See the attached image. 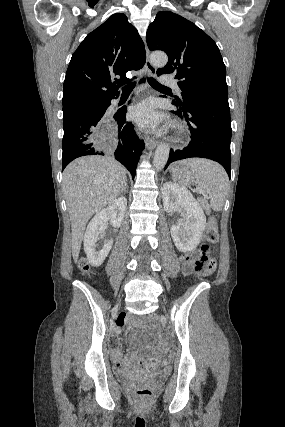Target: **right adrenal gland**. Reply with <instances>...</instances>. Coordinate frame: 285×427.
I'll list each match as a JSON object with an SVG mask.
<instances>
[{"instance_id":"1","label":"right adrenal gland","mask_w":285,"mask_h":427,"mask_svg":"<svg viewBox=\"0 0 285 427\" xmlns=\"http://www.w3.org/2000/svg\"><path fill=\"white\" fill-rule=\"evenodd\" d=\"M128 189L127 184L125 183L124 187L121 189L120 193L123 194L126 192V190Z\"/></svg>"}]
</instances>
